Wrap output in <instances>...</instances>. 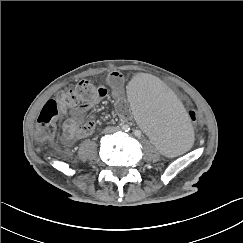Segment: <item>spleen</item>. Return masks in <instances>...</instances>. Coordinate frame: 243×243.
<instances>
[{"label":"spleen","mask_w":243,"mask_h":243,"mask_svg":"<svg viewBox=\"0 0 243 243\" xmlns=\"http://www.w3.org/2000/svg\"><path fill=\"white\" fill-rule=\"evenodd\" d=\"M138 127L161 154L177 157L192 146L194 132L182 101L167 83L153 74L133 79L125 92Z\"/></svg>","instance_id":"1"}]
</instances>
